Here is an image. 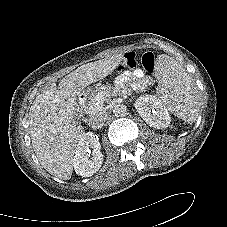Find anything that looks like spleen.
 I'll list each match as a JSON object with an SVG mask.
<instances>
[{
    "mask_svg": "<svg viewBox=\"0 0 227 227\" xmlns=\"http://www.w3.org/2000/svg\"><path fill=\"white\" fill-rule=\"evenodd\" d=\"M157 94L167 110L192 124L201 106L199 89L186 69L175 59L159 55L156 62Z\"/></svg>",
    "mask_w": 227,
    "mask_h": 227,
    "instance_id": "spleen-1",
    "label": "spleen"
}]
</instances>
